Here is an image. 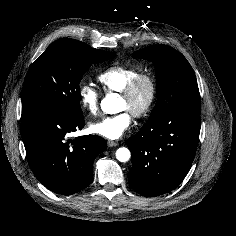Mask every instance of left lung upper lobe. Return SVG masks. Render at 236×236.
I'll return each instance as SVG.
<instances>
[{"instance_id": "obj_1", "label": "left lung upper lobe", "mask_w": 236, "mask_h": 236, "mask_svg": "<svg viewBox=\"0 0 236 236\" xmlns=\"http://www.w3.org/2000/svg\"><path fill=\"white\" fill-rule=\"evenodd\" d=\"M154 63L158 101L147 123L177 110H200L195 73L186 58L167 45H152L133 53Z\"/></svg>"}]
</instances>
